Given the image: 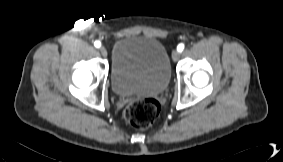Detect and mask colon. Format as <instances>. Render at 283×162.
<instances>
[{
  "mask_svg": "<svg viewBox=\"0 0 283 162\" xmlns=\"http://www.w3.org/2000/svg\"><path fill=\"white\" fill-rule=\"evenodd\" d=\"M160 113L159 103L152 98L132 100L124 111L125 120L138 129H145L153 124Z\"/></svg>",
  "mask_w": 283,
  "mask_h": 162,
  "instance_id": "obj_1",
  "label": "colon"
}]
</instances>
